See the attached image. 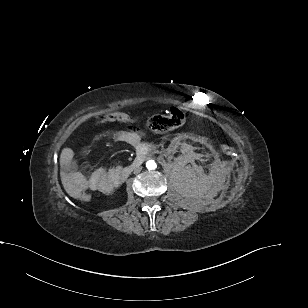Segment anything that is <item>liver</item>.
<instances>
[{"mask_svg":"<svg viewBox=\"0 0 308 308\" xmlns=\"http://www.w3.org/2000/svg\"><path fill=\"white\" fill-rule=\"evenodd\" d=\"M61 180H62V184L66 190V192L72 196V197H75V193L73 192L72 188H71V185L69 183V179L68 177L66 176V174L62 173L61 174Z\"/></svg>","mask_w":308,"mask_h":308,"instance_id":"obj_1","label":"liver"}]
</instances>
